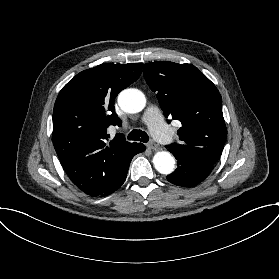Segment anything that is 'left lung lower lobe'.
<instances>
[{"mask_svg": "<svg viewBox=\"0 0 279 279\" xmlns=\"http://www.w3.org/2000/svg\"><path fill=\"white\" fill-rule=\"evenodd\" d=\"M177 159L178 168L167 176V180L175 185L192 187L202 182L212 171L214 164L181 155L168 149Z\"/></svg>", "mask_w": 279, "mask_h": 279, "instance_id": "left-lung-lower-lobe-1", "label": "left lung lower lobe"}]
</instances>
